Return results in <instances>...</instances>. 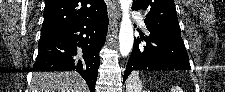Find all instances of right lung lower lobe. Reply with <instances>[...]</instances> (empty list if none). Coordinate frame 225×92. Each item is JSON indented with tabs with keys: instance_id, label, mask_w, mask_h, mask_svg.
Here are the masks:
<instances>
[{
	"instance_id": "right-lung-lower-lobe-1",
	"label": "right lung lower lobe",
	"mask_w": 225,
	"mask_h": 92,
	"mask_svg": "<svg viewBox=\"0 0 225 92\" xmlns=\"http://www.w3.org/2000/svg\"><path fill=\"white\" fill-rule=\"evenodd\" d=\"M107 30L106 8L96 17L40 38L32 71H77L94 92L100 65L99 51L105 43Z\"/></svg>"
}]
</instances>
